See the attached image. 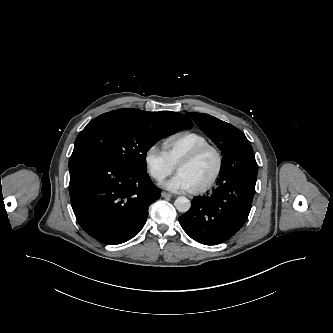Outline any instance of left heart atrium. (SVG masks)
Listing matches in <instances>:
<instances>
[{
    "label": "left heart atrium",
    "mask_w": 333,
    "mask_h": 333,
    "mask_svg": "<svg viewBox=\"0 0 333 333\" xmlns=\"http://www.w3.org/2000/svg\"><path fill=\"white\" fill-rule=\"evenodd\" d=\"M164 187L174 192L191 191L193 189L190 181L179 172L169 181H167L164 184Z\"/></svg>",
    "instance_id": "left-heart-atrium-1"
}]
</instances>
